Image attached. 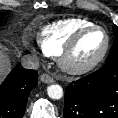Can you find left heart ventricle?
I'll return each instance as SVG.
<instances>
[{
    "label": "left heart ventricle",
    "mask_w": 118,
    "mask_h": 118,
    "mask_svg": "<svg viewBox=\"0 0 118 118\" xmlns=\"http://www.w3.org/2000/svg\"><path fill=\"white\" fill-rule=\"evenodd\" d=\"M106 38L103 32L96 30L90 32L80 41L75 49L71 62L75 65H84L95 60L103 51Z\"/></svg>",
    "instance_id": "1"
}]
</instances>
